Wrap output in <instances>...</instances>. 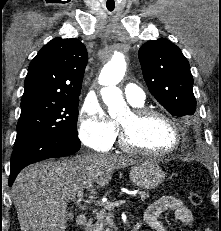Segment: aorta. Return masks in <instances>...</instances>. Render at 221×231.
I'll return each mask as SVG.
<instances>
[{
    "mask_svg": "<svg viewBox=\"0 0 221 231\" xmlns=\"http://www.w3.org/2000/svg\"><path fill=\"white\" fill-rule=\"evenodd\" d=\"M125 71L124 55L121 52H115L111 61L103 67L99 75V83L104 86L101 89V96L108 106V112L111 116H116L126 108L122 91L117 87L123 79Z\"/></svg>",
    "mask_w": 221,
    "mask_h": 231,
    "instance_id": "762f6f07",
    "label": "aorta"
}]
</instances>
